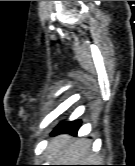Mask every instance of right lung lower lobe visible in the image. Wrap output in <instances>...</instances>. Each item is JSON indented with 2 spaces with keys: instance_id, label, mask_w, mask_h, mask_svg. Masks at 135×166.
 Wrapping results in <instances>:
<instances>
[{
  "instance_id": "1",
  "label": "right lung lower lobe",
  "mask_w": 135,
  "mask_h": 166,
  "mask_svg": "<svg viewBox=\"0 0 135 166\" xmlns=\"http://www.w3.org/2000/svg\"><path fill=\"white\" fill-rule=\"evenodd\" d=\"M81 125L80 120L72 121V122H65L57 126L54 131L53 135L59 134V133H70V134H76L79 127Z\"/></svg>"
}]
</instances>
